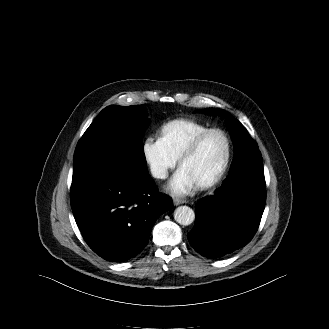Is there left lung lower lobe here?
Segmentation results:
<instances>
[{"label":"left lung lower lobe","instance_id":"1","mask_svg":"<svg viewBox=\"0 0 329 329\" xmlns=\"http://www.w3.org/2000/svg\"><path fill=\"white\" fill-rule=\"evenodd\" d=\"M218 196L196 204V221L188 233L190 245L202 256L219 258L251 241L265 207L263 165L237 160Z\"/></svg>","mask_w":329,"mask_h":329}]
</instances>
